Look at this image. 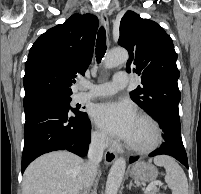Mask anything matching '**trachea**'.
<instances>
[{
	"mask_svg": "<svg viewBox=\"0 0 201 194\" xmlns=\"http://www.w3.org/2000/svg\"><path fill=\"white\" fill-rule=\"evenodd\" d=\"M106 53V32L103 27L98 31V37L96 40V60L97 63L101 62V59Z\"/></svg>",
	"mask_w": 201,
	"mask_h": 194,
	"instance_id": "trachea-1",
	"label": "trachea"
}]
</instances>
